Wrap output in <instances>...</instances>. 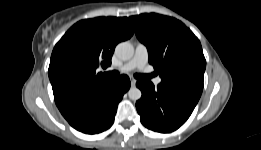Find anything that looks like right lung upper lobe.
I'll return each mask as SVG.
<instances>
[{"label":"right lung upper lobe","mask_w":261,"mask_h":150,"mask_svg":"<svg viewBox=\"0 0 261 150\" xmlns=\"http://www.w3.org/2000/svg\"><path fill=\"white\" fill-rule=\"evenodd\" d=\"M133 33L126 17L82 20L65 33L53 49L48 70L59 110L115 80L96 69L110 66L115 46Z\"/></svg>","instance_id":"right-lung-upper-lobe-1"}]
</instances>
